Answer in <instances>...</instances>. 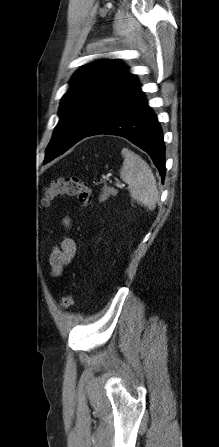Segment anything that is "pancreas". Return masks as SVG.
<instances>
[{
    "mask_svg": "<svg viewBox=\"0 0 219 447\" xmlns=\"http://www.w3.org/2000/svg\"><path fill=\"white\" fill-rule=\"evenodd\" d=\"M117 194V190L114 189L113 187H108V186H104L102 188V192L99 196V201L103 202L105 200H107L110 196H115Z\"/></svg>",
    "mask_w": 219,
    "mask_h": 447,
    "instance_id": "pancreas-1",
    "label": "pancreas"
}]
</instances>
